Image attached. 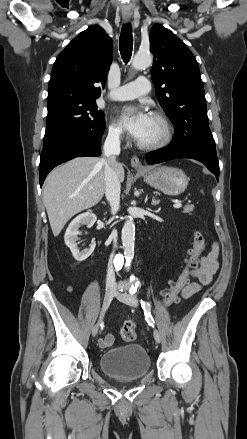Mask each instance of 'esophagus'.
Returning <instances> with one entry per match:
<instances>
[{
  "label": "esophagus",
  "instance_id": "esophagus-1",
  "mask_svg": "<svg viewBox=\"0 0 247 439\" xmlns=\"http://www.w3.org/2000/svg\"><path fill=\"white\" fill-rule=\"evenodd\" d=\"M123 20H124V22H128L130 20V16L124 15ZM131 166L135 169H138V170L145 168L137 156H133L131 158Z\"/></svg>",
  "mask_w": 247,
  "mask_h": 439
}]
</instances>
